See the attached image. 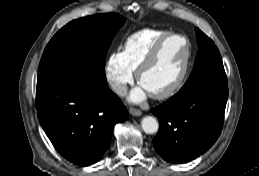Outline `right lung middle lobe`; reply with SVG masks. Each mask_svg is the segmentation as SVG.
Returning a JSON list of instances; mask_svg holds the SVG:
<instances>
[{
    "mask_svg": "<svg viewBox=\"0 0 259 176\" xmlns=\"http://www.w3.org/2000/svg\"><path fill=\"white\" fill-rule=\"evenodd\" d=\"M124 23L125 19L116 13L71 21L46 46L38 71L65 62H80L103 69L109 46Z\"/></svg>",
    "mask_w": 259,
    "mask_h": 176,
    "instance_id": "obj_1",
    "label": "right lung middle lobe"
}]
</instances>
